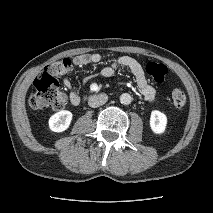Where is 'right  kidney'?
I'll use <instances>...</instances> for the list:
<instances>
[{"label": "right kidney", "mask_w": 213, "mask_h": 213, "mask_svg": "<svg viewBox=\"0 0 213 213\" xmlns=\"http://www.w3.org/2000/svg\"><path fill=\"white\" fill-rule=\"evenodd\" d=\"M72 117L73 114L70 111L61 110L50 117L49 128L53 132H63L69 127Z\"/></svg>", "instance_id": "right-kidney-1"}]
</instances>
